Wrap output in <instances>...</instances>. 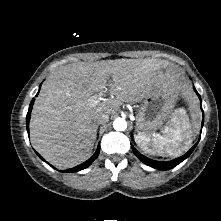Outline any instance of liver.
<instances>
[{"mask_svg":"<svg viewBox=\"0 0 221 221\" xmlns=\"http://www.w3.org/2000/svg\"><path fill=\"white\" fill-rule=\"evenodd\" d=\"M168 65L156 59H116L60 67L48 76L35 101L30 121L33 147L58 168L84 162L96 140L94 117L115 114L123 102L141 101L165 82L162 69ZM106 86L115 99L96 102Z\"/></svg>","mask_w":221,"mask_h":221,"instance_id":"6515ba94","label":"liver"}]
</instances>
